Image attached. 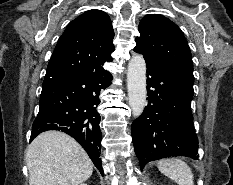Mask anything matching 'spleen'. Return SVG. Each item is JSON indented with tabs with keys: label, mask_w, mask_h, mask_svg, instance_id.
<instances>
[{
	"label": "spleen",
	"mask_w": 233,
	"mask_h": 185,
	"mask_svg": "<svg viewBox=\"0 0 233 185\" xmlns=\"http://www.w3.org/2000/svg\"><path fill=\"white\" fill-rule=\"evenodd\" d=\"M157 167L161 173L174 180L178 185H194L191 168L181 159L159 160Z\"/></svg>",
	"instance_id": "spleen-1"
}]
</instances>
